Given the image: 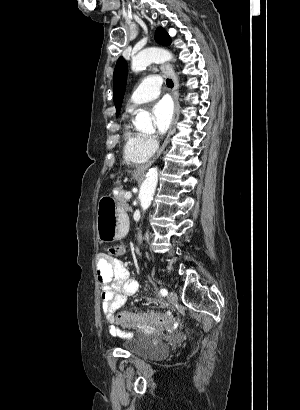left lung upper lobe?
<instances>
[{
    "label": "left lung upper lobe",
    "mask_w": 300,
    "mask_h": 410,
    "mask_svg": "<svg viewBox=\"0 0 300 410\" xmlns=\"http://www.w3.org/2000/svg\"><path fill=\"white\" fill-rule=\"evenodd\" d=\"M155 40L164 46L171 44V38L163 28H158L155 33ZM127 81V62L123 57H119L113 74L114 103L116 115L119 114Z\"/></svg>",
    "instance_id": "left-lung-upper-lobe-1"
}]
</instances>
